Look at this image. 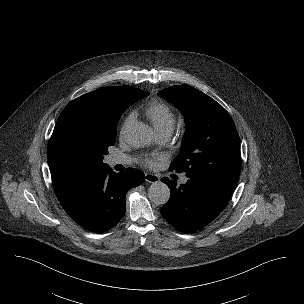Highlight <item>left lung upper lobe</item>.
<instances>
[{"instance_id":"1","label":"left lung upper lobe","mask_w":304,"mask_h":304,"mask_svg":"<svg viewBox=\"0 0 304 304\" xmlns=\"http://www.w3.org/2000/svg\"><path fill=\"white\" fill-rule=\"evenodd\" d=\"M159 95L177 106L186 121L181 152L170 170L235 188L241 170L239 135L228 112L188 85L166 88Z\"/></svg>"}]
</instances>
